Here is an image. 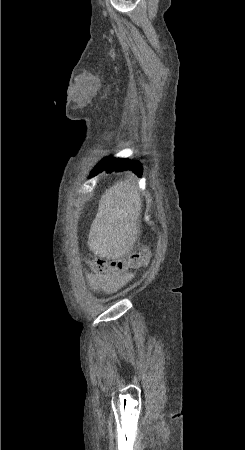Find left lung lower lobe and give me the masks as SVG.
Segmentation results:
<instances>
[{
    "mask_svg": "<svg viewBox=\"0 0 245 450\" xmlns=\"http://www.w3.org/2000/svg\"><path fill=\"white\" fill-rule=\"evenodd\" d=\"M104 169H106L108 172L131 170L138 176L142 175V166L138 161L123 158L105 157L99 164H97L90 176H94Z\"/></svg>",
    "mask_w": 245,
    "mask_h": 450,
    "instance_id": "1",
    "label": "left lung lower lobe"
}]
</instances>
